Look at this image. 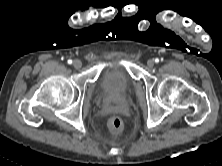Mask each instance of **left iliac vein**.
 Listing matches in <instances>:
<instances>
[{"instance_id":"left-iliac-vein-1","label":"left iliac vein","mask_w":222,"mask_h":166,"mask_svg":"<svg viewBox=\"0 0 222 166\" xmlns=\"http://www.w3.org/2000/svg\"><path fill=\"white\" fill-rule=\"evenodd\" d=\"M147 65H148L150 68H152V67L154 66V60H153V59L148 60Z\"/></svg>"}]
</instances>
